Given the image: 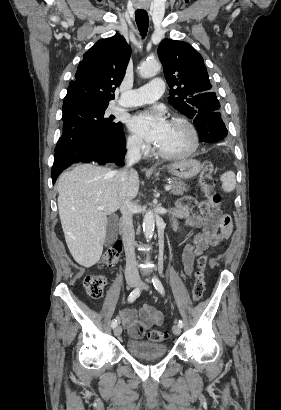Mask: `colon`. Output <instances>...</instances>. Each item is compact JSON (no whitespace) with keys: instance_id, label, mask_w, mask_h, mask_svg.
I'll return each instance as SVG.
<instances>
[{"instance_id":"1","label":"colon","mask_w":281,"mask_h":410,"mask_svg":"<svg viewBox=\"0 0 281 410\" xmlns=\"http://www.w3.org/2000/svg\"><path fill=\"white\" fill-rule=\"evenodd\" d=\"M214 174L215 167L211 162H205L200 174V182L203 193L205 195V202L199 203L196 206V212L200 214H207L209 212H219L221 207L220 196L214 190ZM224 222L226 224L231 222L229 215H225ZM122 251V244L120 242L108 247L103 256L102 261L109 267H114L118 264L119 257ZM207 257L201 256L197 261V272L195 275V282L192 288V299L195 302L203 298L205 291L204 269L206 267ZM106 279L102 275H88L84 279V287L87 295L92 299H99L103 295ZM148 339L151 342H162L167 338V333L158 329H151L147 333Z\"/></svg>"}]
</instances>
